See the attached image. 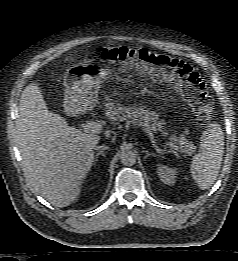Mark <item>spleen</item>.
<instances>
[{
  "instance_id": "3e777b00",
  "label": "spleen",
  "mask_w": 238,
  "mask_h": 261,
  "mask_svg": "<svg viewBox=\"0 0 238 261\" xmlns=\"http://www.w3.org/2000/svg\"><path fill=\"white\" fill-rule=\"evenodd\" d=\"M200 151L191 162V176L199 189L206 190L215 182L224 153V134L214 122L207 126L200 138Z\"/></svg>"
}]
</instances>
